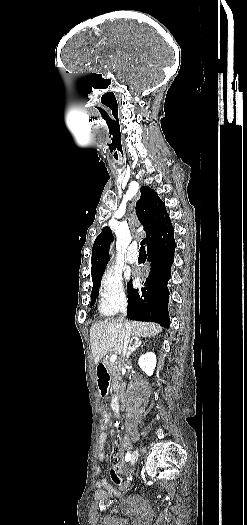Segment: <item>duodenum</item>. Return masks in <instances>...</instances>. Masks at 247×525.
Wrapping results in <instances>:
<instances>
[{"instance_id": "1", "label": "duodenum", "mask_w": 247, "mask_h": 525, "mask_svg": "<svg viewBox=\"0 0 247 525\" xmlns=\"http://www.w3.org/2000/svg\"><path fill=\"white\" fill-rule=\"evenodd\" d=\"M96 380L98 383L99 391L102 395L107 394L110 386V374L106 363H99L96 368ZM111 409L114 412H118L120 409V399L118 396H114L111 399Z\"/></svg>"}]
</instances>
